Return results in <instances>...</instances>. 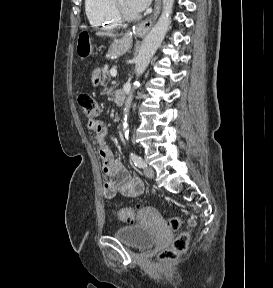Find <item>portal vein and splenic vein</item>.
<instances>
[{"label":"portal vein and splenic vein","mask_w":273,"mask_h":288,"mask_svg":"<svg viewBox=\"0 0 273 288\" xmlns=\"http://www.w3.org/2000/svg\"><path fill=\"white\" fill-rule=\"evenodd\" d=\"M110 73H111L112 77H116V75H117L116 66L111 69Z\"/></svg>","instance_id":"obj_1"}]
</instances>
